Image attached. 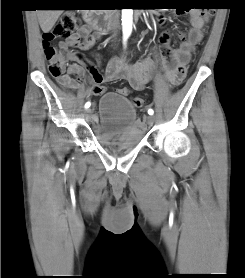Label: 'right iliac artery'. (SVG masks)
Returning a JSON list of instances; mask_svg holds the SVG:
<instances>
[{"mask_svg":"<svg viewBox=\"0 0 245 278\" xmlns=\"http://www.w3.org/2000/svg\"><path fill=\"white\" fill-rule=\"evenodd\" d=\"M125 42H126V39H124V44H125ZM90 102H87L86 104H85V108H89L90 107Z\"/></svg>","mask_w":245,"mask_h":278,"instance_id":"1","label":"right iliac artery"}]
</instances>
